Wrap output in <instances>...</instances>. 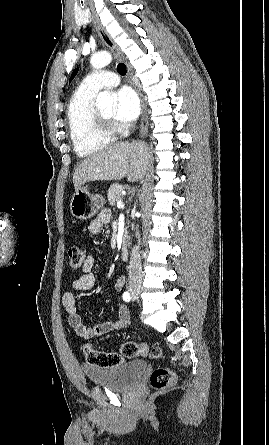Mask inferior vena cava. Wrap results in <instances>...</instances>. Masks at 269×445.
Here are the masks:
<instances>
[{"instance_id":"1","label":"inferior vena cava","mask_w":269,"mask_h":445,"mask_svg":"<svg viewBox=\"0 0 269 445\" xmlns=\"http://www.w3.org/2000/svg\"><path fill=\"white\" fill-rule=\"evenodd\" d=\"M142 278V266L139 246H134L131 253L130 263H129V280L135 281Z\"/></svg>"}]
</instances>
